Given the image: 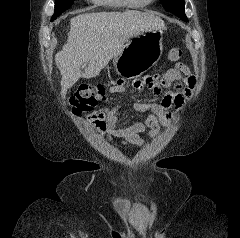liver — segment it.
<instances>
[{
  "label": "liver",
  "mask_w": 240,
  "mask_h": 238,
  "mask_svg": "<svg viewBox=\"0 0 240 238\" xmlns=\"http://www.w3.org/2000/svg\"><path fill=\"white\" fill-rule=\"evenodd\" d=\"M158 29H166L161 18L136 10L85 13L73 17L67 43L55 55L62 76V98L82 76L81 67L88 65L83 74L85 78L96 77L131 37Z\"/></svg>",
  "instance_id": "6515ba94"
}]
</instances>
